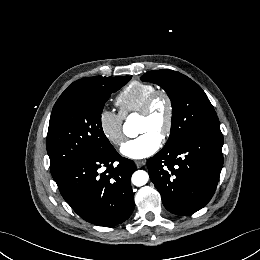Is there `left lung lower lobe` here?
I'll use <instances>...</instances> for the list:
<instances>
[{
	"label": "left lung lower lobe",
	"instance_id": "0a47b994",
	"mask_svg": "<svg viewBox=\"0 0 260 260\" xmlns=\"http://www.w3.org/2000/svg\"><path fill=\"white\" fill-rule=\"evenodd\" d=\"M222 145L221 131L202 132L148 159L150 179L169 212L189 215L210 201L223 165Z\"/></svg>",
	"mask_w": 260,
	"mask_h": 260
}]
</instances>
